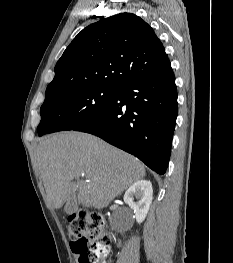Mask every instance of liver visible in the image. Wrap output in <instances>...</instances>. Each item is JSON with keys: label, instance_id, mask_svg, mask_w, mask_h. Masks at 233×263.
<instances>
[{"label": "liver", "instance_id": "obj_1", "mask_svg": "<svg viewBox=\"0 0 233 263\" xmlns=\"http://www.w3.org/2000/svg\"><path fill=\"white\" fill-rule=\"evenodd\" d=\"M37 159L47 199L55 209L70 196L84 207L102 209L145 176V167L138 159L81 132L43 138Z\"/></svg>", "mask_w": 233, "mask_h": 263}]
</instances>
